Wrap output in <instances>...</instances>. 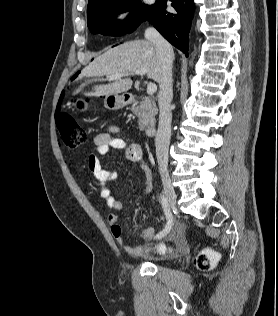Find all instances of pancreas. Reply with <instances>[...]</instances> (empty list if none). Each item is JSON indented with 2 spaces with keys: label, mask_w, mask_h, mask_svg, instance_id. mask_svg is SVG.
<instances>
[{
  "label": "pancreas",
  "mask_w": 278,
  "mask_h": 316,
  "mask_svg": "<svg viewBox=\"0 0 278 316\" xmlns=\"http://www.w3.org/2000/svg\"><path fill=\"white\" fill-rule=\"evenodd\" d=\"M131 110L138 117L140 131H144L148 127H154L158 110L152 98L144 97L140 105H133Z\"/></svg>",
  "instance_id": "pancreas-1"
}]
</instances>
